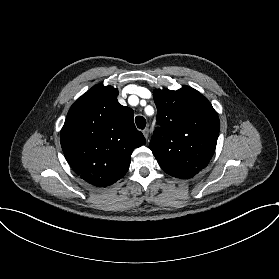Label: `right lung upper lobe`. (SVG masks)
Returning a JSON list of instances; mask_svg holds the SVG:
<instances>
[{"instance_id":"obj_1","label":"right lung upper lobe","mask_w":279,"mask_h":279,"mask_svg":"<svg viewBox=\"0 0 279 279\" xmlns=\"http://www.w3.org/2000/svg\"><path fill=\"white\" fill-rule=\"evenodd\" d=\"M118 90L96 85L70 108L61 146L70 167L86 182L107 186L128 171L132 151L146 140L133 122V110L117 101Z\"/></svg>"}]
</instances>
